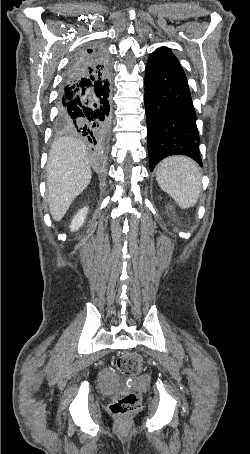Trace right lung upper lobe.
Masks as SVG:
<instances>
[{
    "mask_svg": "<svg viewBox=\"0 0 250 454\" xmlns=\"http://www.w3.org/2000/svg\"><path fill=\"white\" fill-rule=\"evenodd\" d=\"M109 65H110V63H109ZM94 68H95L96 70H99V69L103 68V66H100V65H99V66H96V65H95Z\"/></svg>",
    "mask_w": 250,
    "mask_h": 454,
    "instance_id": "cb5924a9",
    "label": "right lung upper lobe"
}]
</instances>
